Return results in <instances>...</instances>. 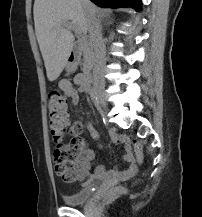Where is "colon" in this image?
<instances>
[{"label": "colon", "mask_w": 202, "mask_h": 217, "mask_svg": "<svg viewBox=\"0 0 202 217\" xmlns=\"http://www.w3.org/2000/svg\"><path fill=\"white\" fill-rule=\"evenodd\" d=\"M67 102L65 96L52 91L48 97L49 126L55 143L53 156L56 173L65 181H75L82 176L81 155L84 152V141L73 135L63 142V135L68 131ZM138 145V142H135ZM119 190H116L118 192Z\"/></svg>", "instance_id": "5ec220e1"}]
</instances>
